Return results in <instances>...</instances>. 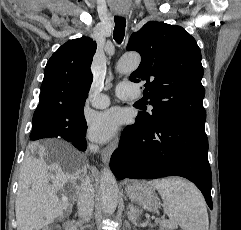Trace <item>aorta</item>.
<instances>
[{
	"instance_id": "obj_1",
	"label": "aorta",
	"mask_w": 241,
	"mask_h": 230,
	"mask_svg": "<svg viewBox=\"0 0 241 230\" xmlns=\"http://www.w3.org/2000/svg\"><path fill=\"white\" fill-rule=\"evenodd\" d=\"M140 61L138 53H128L118 61L116 69L120 74H130L138 68ZM100 191L102 210L105 215L109 216L117 207L119 189L113 173L108 168L102 170Z\"/></svg>"
}]
</instances>
